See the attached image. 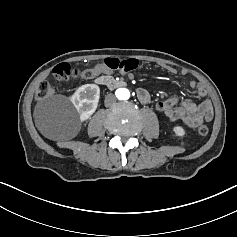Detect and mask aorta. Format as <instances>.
<instances>
[{"label": "aorta", "mask_w": 237, "mask_h": 237, "mask_svg": "<svg viewBox=\"0 0 237 237\" xmlns=\"http://www.w3.org/2000/svg\"><path fill=\"white\" fill-rule=\"evenodd\" d=\"M116 94L119 100H128L131 96L129 89L127 88H119Z\"/></svg>", "instance_id": "1"}]
</instances>
